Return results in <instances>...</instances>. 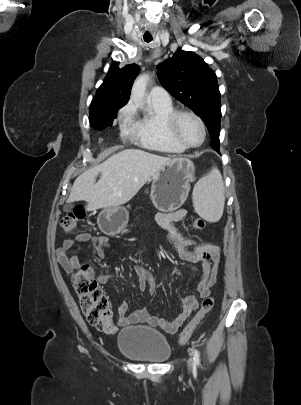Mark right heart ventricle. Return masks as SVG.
<instances>
[{
    "label": "right heart ventricle",
    "mask_w": 301,
    "mask_h": 405,
    "mask_svg": "<svg viewBox=\"0 0 301 405\" xmlns=\"http://www.w3.org/2000/svg\"><path fill=\"white\" fill-rule=\"evenodd\" d=\"M174 112L172 105L164 106L150 102V110L142 115L133 114L127 133L144 148L170 154L185 152L166 131V118Z\"/></svg>",
    "instance_id": "1"
}]
</instances>
